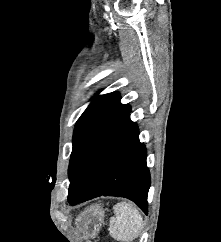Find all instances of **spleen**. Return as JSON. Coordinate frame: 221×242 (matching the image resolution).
Wrapping results in <instances>:
<instances>
[{
  "label": "spleen",
  "mask_w": 221,
  "mask_h": 242,
  "mask_svg": "<svg viewBox=\"0 0 221 242\" xmlns=\"http://www.w3.org/2000/svg\"><path fill=\"white\" fill-rule=\"evenodd\" d=\"M114 213L109 227V233L114 239L128 242L141 234L143 219L134 204L125 201L117 203Z\"/></svg>",
  "instance_id": "spleen-1"
}]
</instances>
